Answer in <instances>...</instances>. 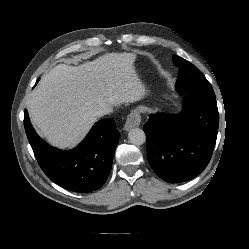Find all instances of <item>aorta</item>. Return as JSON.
<instances>
[{"label":"aorta","instance_id":"762f6f07","mask_svg":"<svg viewBox=\"0 0 249 249\" xmlns=\"http://www.w3.org/2000/svg\"><path fill=\"white\" fill-rule=\"evenodd\" d=\"M130 143L134 145H142L146 141V135L140 128H133L128 133Z\"/></svg>","mask_w":249,"mask_h":249}]
</instances>
